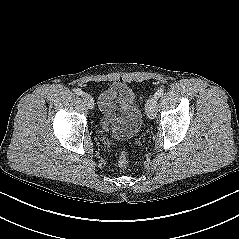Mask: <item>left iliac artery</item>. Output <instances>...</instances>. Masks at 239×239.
Listing matches in <instances>:
<instances>
[{
    "instance_id": "44dca946",
    "label": "left iliac artery",
    "mask_w": 239,
    "mask_h": 239,
    "mask_svg": "<svg viewBox=\"0 0 239 239\" xmlns=\"http://www.w3.org/2000/svg\"><path fill=\"white\" fill-rule=\"evenodd\" d=\"M164 93V89L163 88H160L158 89V91L155 93V97L158 99L159 97H161Z\"/></svg>"
}]
</instances>
